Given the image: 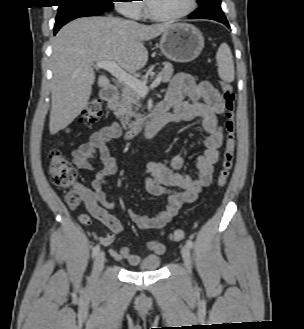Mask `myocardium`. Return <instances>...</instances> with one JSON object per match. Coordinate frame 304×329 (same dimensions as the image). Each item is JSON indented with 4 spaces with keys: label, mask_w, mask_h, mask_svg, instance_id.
<instances>
[{
    "label": "myocardium",
    "mask_w": 304,
    "mask_h": 329,
    "mask_svg": "<svg viewBox=\"0 0 304 329\" xmlns=\"http://www.w3.org/2000/svg\"><path fill=\"white\" fill-rule=\"evenodd\" d=\"M196 7H197V0H189V5L184 11L176 13V14L162 15V14L155 13L151 9L148 0H145V11H146L147 16L156 21H175V20L182 19V18L190 15L191 13H193L194 10L196 9Z\"/></svg>",
    "instance_id": "myocardium-1"
}]
</instances>
